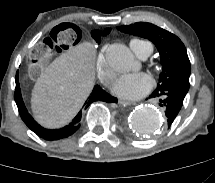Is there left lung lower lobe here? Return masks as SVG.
I'll return each instance as SVG.
<instances>
[{
  "label": "left lung lower lobe",
  "instance_id": "obj_1",
  "mask_svg": "<svg viewBox=\"0 0 215 183\" xmlns=\"http://www.w3.org/2000/svg\"><path fill=\"white\" fill-rule=\"evenodd\" d=\"M187 92L180 86L167 85L157 88L150 95V98L159 100V105L164 108L169 127L181 110Z\"/></svg>",
  "mask_w": 215,
  "mask_h": 183
}]
</instances>
